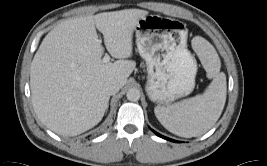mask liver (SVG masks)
Masks as SVG:
<instances>
[{"instance_id": "obj_1", "label": "liver", "mask_w": 267, "mask_h": 166, "mask_svg": "<svg viewBox=\"0 0 267 166\" xmlns=\"http://www.w3.org/2000/svg\"><path fill=\"white\" fill-rule=\"evenodd\" d=\"M148 11L125 9L61 22L43 39L31 63L33 108L47 128L76 136L97 125L108 107V81L123 87L136 67L133 32ZM98 29L114 63H104Z\"/></svg>"}]
</instances>
